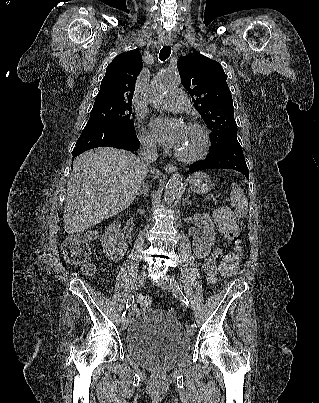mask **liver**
Segmentation results:
<instances>
[{
	"label": "liver",
	"instance_id": "1",
	"mask_svg": "<svg viewBox=\"0 0 319 403\" xmlns=\"http://www.w3.org/2000/svg\"><path fill=\"white\" fill-rule=\"evenodd\" d=\"M147 172L141 159L125 150L102 147L78 156L67 184L65 231L84 232L128 208Z\"/></svg>",
	"mask_w": 319,
	"mask_h": 403
}]
</instances>
